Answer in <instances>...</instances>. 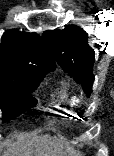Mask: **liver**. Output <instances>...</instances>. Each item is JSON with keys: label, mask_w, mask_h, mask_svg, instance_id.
I'll use <instances>...</instances> for the list:
<instances>
[{"label": "liver", "mask_w": 114, "mask_h": 156, "mask_svg": "<svg viewBox=\"0 0 114 156\" xmlns=\"http://www.w3.org/2000/svg\"><path fill=\"white\" fill-rule=\"evenodd\" d=\"M18 142L8 144L4 156H76L73 148L64 145L49 135L35 136L18 135Z\"/></svg>", "instance_id": "obj_1"}]
</instances>
